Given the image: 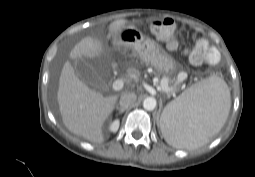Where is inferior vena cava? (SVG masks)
Here are the masks:
<instances>
[{
  "mask_svg": "<svg viewBox=\"0 0 255 177\" xmlns=\"http://www.w3.org/2000/svg\"><path fill=\"white\" fill-rule=\"evenodd\" d=\"M137 99V96L135 93L128 92L124 93L119 101L120 107L127 109L128 107H131Z\"/></svg>",
  "mask_w": 255,
  "mask_h": 177,
  "instance_id": "obj_1",
  "label": "inferior vena cava"
}]
</instances>
